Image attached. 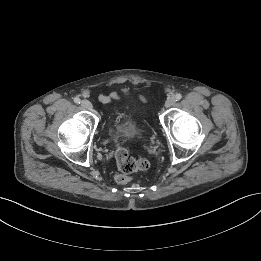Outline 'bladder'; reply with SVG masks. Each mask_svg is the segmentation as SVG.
Segmentation results:
<instances>
[{"mask_svg": "<svg viewBox=\"0 0 261 261\" xmlns=\"http://www.w3.org/2000/svg\"><path fill=\"white\" fill-rule=\"evenodd\" d=\"M109 133L115 140L134 139L140 133V123L130 108L115 110L110 117Z\"/></svg>", "mask_w": 261, "mask_h": 261, "instance_id": "1", "label": "bladder"}]
</instances>
